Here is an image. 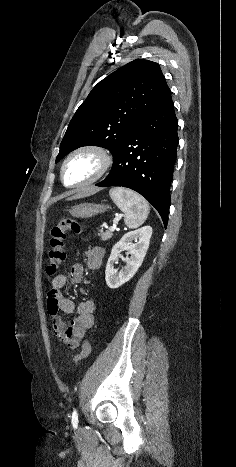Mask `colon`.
Segmentation results:
<instances>
[{"instance_id":"obj_1","label":"colon","mask_w":236,"mask_h":467,"mask_svg":"<svg viewBox=\"0 0 236 467\" xmlns=\"http://www.w3.org/2000/svg\"><path fill=\"white\" fill-rule=\"evenodd\" d=\"M80 223L75 219H62L57 225L51 229L50 247L48 251V264L46 272L49 276H54L59 271L61 264L66 259L64 251V240L68 231L78 233L80 231ZM91 352L89 341L83 343L81 351L74 357V363L85 359Z\"/></svg>"}]
</instances>
